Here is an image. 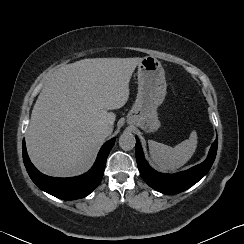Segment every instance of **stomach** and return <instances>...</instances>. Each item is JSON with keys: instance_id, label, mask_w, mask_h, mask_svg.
Segmentation results:
<instances>
[{"instance_id": "stomach-1", "label": "stomach", "mask_w": 244, "mask_h": 244, "mask_svg": "<svg viewBox=\"0 0 244 244\" xmlns=\"http://www.w3.org/2000/svg\"><path fill=\"white\" fill-rule=\"evenodd\" d=\"M138 94L128 114V123L139 126L146 132H155L160 127L158 108L166 97V79L162 64L153 56L142 58L138 64Z\"/></svg>"}]
</instances>
